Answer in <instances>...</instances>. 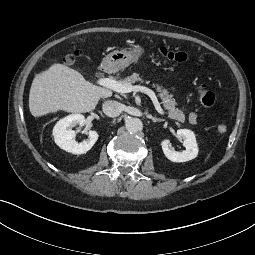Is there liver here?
Instances as JSON below:
<instances>
[{
  "mask_svg": "<svg viewBox=\"0 0 255 255\" xmlns=\"http://www.w3.org/2000/svg\"><path fill=\"white\" fill-rule=\"evenodd\" d=\"M110 96L112 91L109 89L96 86L78 71L57 63L34 78L29 93V110L34 117L59 110L86 113L94 110L101 98Z\"/></svg>",
  "mask_w": 255,
  "mask_h": 255,
  "instance_id": "1",
  "label": "liver"
}]
</instances>
